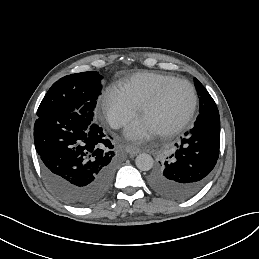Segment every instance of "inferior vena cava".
<instances>
[{"label":"inferior vena cava","mask_w":259,"mask_h":259,"mask_svg":"<svg viewBox=\"0 0 259 259\" xmlns=\"http://www.w3.org/2000/svg\"><path fill=\"white\" fill-rule=\"evenodd\" d=\"M123 124V119L121 117H115L111 121V125L114 128H119Z\"/></svg>","instance_id":"1"}]
</instances>
